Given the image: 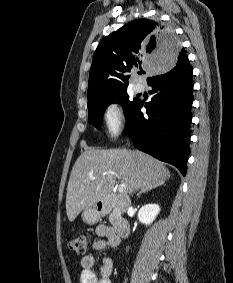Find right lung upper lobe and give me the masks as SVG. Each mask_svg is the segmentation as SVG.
<instances>
[{
    "label": "right lung upper lobe",
    "instance_id": "right-lung-upper-lobe-1",
    "mask_svg": "<svg viewBox=\"0 0 233 283\" xmlns=\"http://www.w3.org/2000/svg\"><path fill=\"white\" fill-rule=\"evenodd\" d=\"M187 54L173 30L157 21L142 18L124 25L105 37L95 51L88 106L127 90L131 70H171Z\"/></svg>",
    "mask_w": 233,
    "mask_h": 283
}]
</instances>
